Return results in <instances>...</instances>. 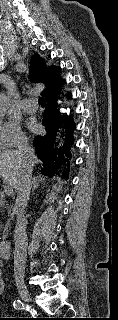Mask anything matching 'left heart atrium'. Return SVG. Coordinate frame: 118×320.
Masks as SVG:
<instances>
[{
  "instance_id": "1",
  "label": "left heart atrium",
  "mask_w": 118,
  "mask_h": 320,
  "mask_svg": "<svg viewBox=\"0 0 118 320\" xmlns=\"http://www.w3.org/2000/svg\"><path fill=\"white\" fill-rule=\"evenodd\" d=\"M29 127L32 130H37L38 129V125H37V123L35 121H30Z\"/></svg>"
}]
</instances>
